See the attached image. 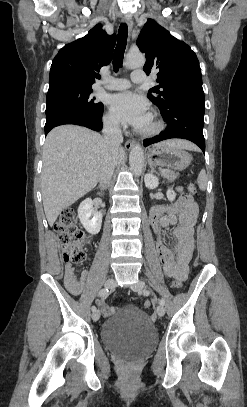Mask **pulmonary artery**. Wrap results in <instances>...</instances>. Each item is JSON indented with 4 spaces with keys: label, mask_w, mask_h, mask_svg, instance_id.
Instances as JSON below:
<instances>
[{
    "label": "pulmonary artery",
    "mask_w": 247,
    "mask_h": 407,
    "mask_svg": "<svg viewBox=\"0 0 247 407\" xmlns=\"http://www.w3.org/2000/svg\"><path fill=\"white\" fill-rule=\"evenodd\" d=\"M133 83H143L146 81V75L142 70H136L131 75ZM130 81L124 78H114L107 82L106 88L111 90H123L130 87Z\"/></svg>",
    "instance_id": "e3ab8cb5"
}]
</instances>
